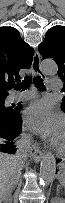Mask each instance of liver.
I'll return each instance as SVG.
<instances>
[{
  "label": "liver",
  "mask_w": 65,
  "mask_h": 203,
  "mask_svg": "<svg viewBox=\"0 0 65 203\" xmlns=\"http://www.w3.org/2000/svg\"><path fill=\"white\" fill-rule=\"evenodd\" d=\"M17 167L16 157L6 153H0V200L8 198L13 187Z\"/></svg>",
  "instance_id": "obj_1"
}]
</instances>
